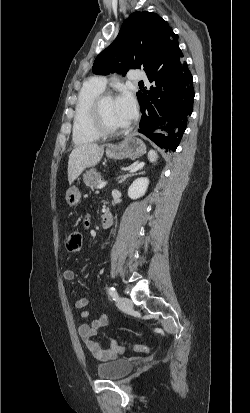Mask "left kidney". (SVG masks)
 <instances>
[{"mask_svg": "<svg viewBox=\"0 0 250 413\" xmlns=\"http://www.w3.org/2000/svg\"><path fill=\"white\" fill-rule=\"evenodd\" d=\"M148 185H149L148 178H145V177L137 178L136 180L133 181V183L129 187L128 196L131 199H137V198L144 196V194L147 191Z\"/></svg>", "mask_w": 250, "mask_h": 413, "instance_id": "5707ae66", "label": "left kidney"}]
</instances>
